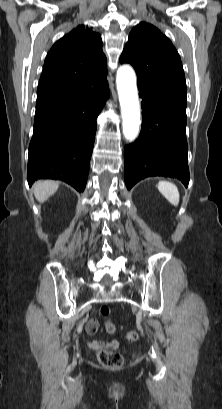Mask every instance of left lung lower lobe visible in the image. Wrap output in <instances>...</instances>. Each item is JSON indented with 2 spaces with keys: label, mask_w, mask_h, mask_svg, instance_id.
<instances>
[{
  "label": "left lung lower lobe",
  "mask_w": 222,
  "mask_h": 409,
  "mask_svg": "<svg viewBox=\"0 0 222 409\" xmlns=\"http://www.w3.org/2000/svg\"><path fill=\"white\" fill-rule=\"evenodd\" d=\"M139 96L143 99L141 133L124 150L128 190L149 176L175 177L188 186L186 101L140 91Z\"/></svg>",
  "instance_id": "0a47b994"
}]
</instances>
